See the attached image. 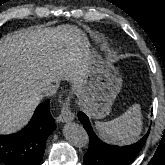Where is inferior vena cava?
<instances>
[{"label":"inferior vena cava","mask_w":165,"mask_h":165,"mask_svg":"<svg viewBox=\"0 0 165 165\" xmlns=\"http://www.w3.org/2000/svg\"><path fill=\"white\" fill-rule=\"evenodd\" d=\"M57 92V86L51 82L43 83L41 87V94L44 96H53Z\"/></svg>","instance_id":"1"}]
</instances>
